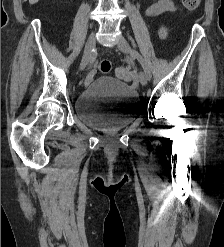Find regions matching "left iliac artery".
<instances>
[{
	"label": "left iliac artery",
	"instance_id": "1",
	"mask_svg": "<svg viewBox=\"0 0 224 247\" xmlns=\"http://www.w3.org/2000/svg\"><path fill=\"white\" fill-rule=\"evenodd\" d=\"M133 56L136 57L138 59V61L140 62L146 77L150 80L151 79V72L150 69L146 63V61L144 60V58L137 52V51H133Z\"/></svg>",
	"mask_w": 224,
	"mask_h": 247
}]
</instances>
